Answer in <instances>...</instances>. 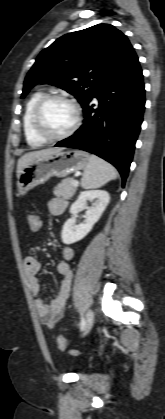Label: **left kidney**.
Returning a JSON list of instances; mask_svg holds the SVG:
<instances>
[{"mask_svg": "<svg viewBox=\"0 0 165 419\" xmlns=\"http://www.w3.org/2000/svg\"><path fill=\"white\" fill-rule=\"evenodd\" d=\"M95 203L92 207L87 208L88 201ZM110 196L105 190H88L83 191L70 208L71 214H77L83 209L85 212V222L75 224V220L69 218L62 229L61 238L64 244H72L83 239L93 228L94 224L100 219L102 213L109 204Z\"/></svg>", "mask_w": 165, "mask_h": 419, "instance_id": "obj_1", "label": "left kidney"}]
</instances>
